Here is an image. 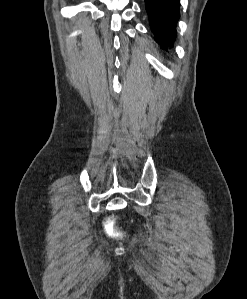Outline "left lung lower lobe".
<instances>
[{"label":"left lung lower lobe","instance_id":"left-lung-lower-lobe-1","mask_svg":"<svg viewBox=\"0 0 247 299\" xmlns=\"http://www.w3.org/2000/svg\"><path fill=\"white\" fill-rule=\"evenodd\" d=\"M152 32L162 49H167L176 36L179 0H145ZM172 46V45H171Z\"/></svg>","mask_w":247,"mask_h":299}]
</instances>
